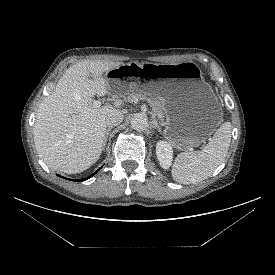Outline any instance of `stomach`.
Returning <instances> with one entry per match:
<instances>
[{"label":"stomach","mask_w":275,"mask_h":275,"mask_svg":"<svg viewBox=\"0 0 275 275\" xmlns=\"http://www.w3.org/2000/svg\"><path fill=\"white\" fill-rule=\"evenodd\" d=\"M105 79L118 95L137 90L163 99V135L177 150L204 143L222 121L221 105L199 66L192 61L130 62L107 71Z\"/></svg>","instance_id":"stomach-1"}]
</instances>
